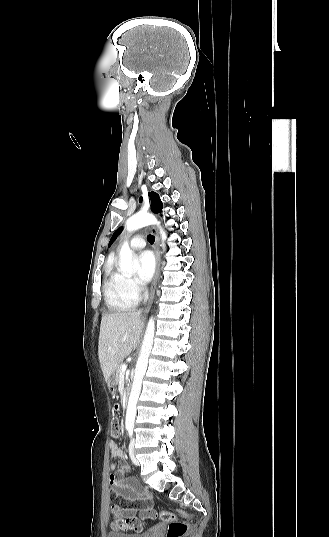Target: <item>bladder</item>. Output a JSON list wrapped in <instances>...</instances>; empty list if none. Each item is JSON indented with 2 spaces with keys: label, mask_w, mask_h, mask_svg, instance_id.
<instances>
[{
  "label": "bladder",
  "mask_w": 329,
  "mask_h": 537,
  "mask_svg": "<svg viewBox=\"0 0 329 537\" xmlns=\"http://www.w3.org/2000/svg\"><path fill=\"white\" fill-rule=\"evenodd\" d=\"M155 530L147 531L141 534H127L120 531H110L107 537H154Z\"/></svg>",
  "instance_id": "1"
}]
</instances>
